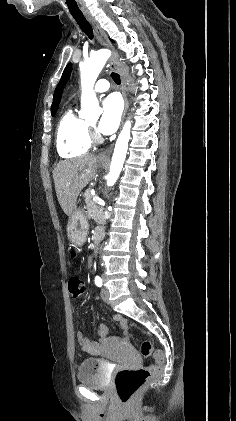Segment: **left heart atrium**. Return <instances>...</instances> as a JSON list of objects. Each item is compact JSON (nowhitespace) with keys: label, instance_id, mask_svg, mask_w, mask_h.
<instances>
[{"label":"left heart atrium","instance_id":"39dd6f15","mask_svg":"<svg viewBox=\"0 0 236 421\" xmlns=\"http://www.w3.org/2000/svg\"><path fill=\"white\" fill-rule=\"evenodd\" d=\"M122 106L116 95L111 94L103 101V113L99 122V130L103 134L113 133L119 126Z\"/></svg>","mask_w":236,"mask_h":421}]
</instances>
